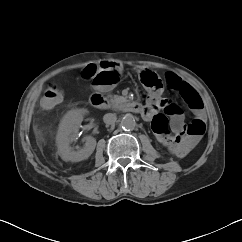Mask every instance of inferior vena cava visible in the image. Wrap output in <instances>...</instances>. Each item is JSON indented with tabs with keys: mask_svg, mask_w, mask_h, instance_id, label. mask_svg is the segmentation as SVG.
Returning a JSON list of instances; mask_svg holds the SVG:
<instances>
[{
	"mask_svg": "<svg viewBox=\"0 0 242 242\" xmlns=\"http://www.w3.org/2000/svg\"><path fill=\"white\" fill-rule=\"evenodd\" d=\"M117 120V116L114 113H107L103 116V121L105 124H114Z\"/></svg>",
	"mask_w": 242,
	"mask_h": 242,
	"instance_id": "1",
	"label": "inferior vena cava"
}]
</instances>
